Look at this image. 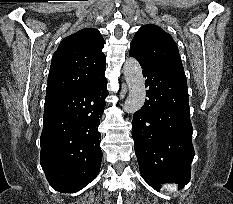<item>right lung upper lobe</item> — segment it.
I'll return each mask as SVG.
<instances>
[{"instance_id": "right-lung-upper-lobe-1", "label": "right lung upper lobe", "mask_w": 233, "mask_h": 204, "mask_svg": "<svg viewBox=\"0 0 233 204\" xmlns=\"http://www.w3.org/2000/svg\"><path fill=\"white\" fill-rule=\"evenodd\" d=\"M104 43L94 28L66 37L53 55L45 100L82 88L105 70Z\"/></svg>"}]
</instances>
